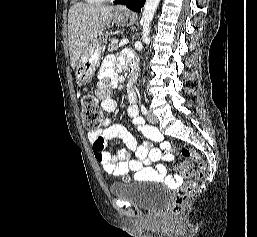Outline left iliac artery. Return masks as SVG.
<instances>
[{
  "instance_id": "obj_1",
  "label": "left iliac artery",
  "mask_w": 257,
  "mask_h": 237,
  "mask_svg": "<svg viewBox=\"0 0 257 237\" xmlns=\"http://www.w3.org/2000/svg\"><path fill=\"white\" fill-rule=\"evenodd\" d=\"M141 111H142V113H143L144 115L147 114V108H146L145 105H142V106H141Z\"/></svg>"
}]
</instances>
